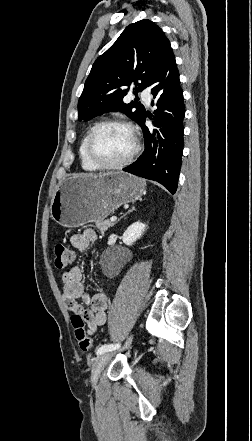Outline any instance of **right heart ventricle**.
Masks as SVG:
<instances>
[{
	"label": "right heart ventricle",
	"instance_id": "right-heart-ventricle-1",
	"mask_svg": "<svg viewBox=\"0 0 252 441\" xmlns=\"http://www.w3.org/2000/svg\"><path fill=\"white\" fill-rule=\"evenodd\" d=\"M91 129H92V127L90 129H88V131L83 136V138L80 142V145H79V149H78L80 165L83 170L89 171V172L97 171L99 169L98 167H96L95 165H93L89 161V159L87 158V155H86V142H87V139H88V136H89Z\"/></svg>",
	"mask_w": 252,
	"mask_h": 441
}]
</instances>
